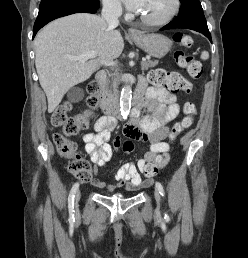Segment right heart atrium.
<instances>
[{
    "label": "right heart atrium",
    "instance_id": "right-heart-atrium-1",
    "mask_svg": "<svg viewBox=\"0 0 248 258\" xmlns=\"http://www.w3.org/2000/svg\"><path fill=\"white\" fill-rule=\"evenodd\" d=\"M105 11L113 15L122 13V6L119 0H102Z\"/></svg>",
    "mask_w": 248,
    "mask_h": 258
}]
</instances>
